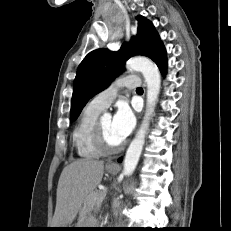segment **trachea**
Returning <instances> with one entry per match:
<instances>
[{
    "label": "trachea",
    "instance_id": "trachea-1",
    "mask_svg": "<svg viewBox=\"0 0 231 231\" xmlns=\"http://www.w3.org/2000/svg\"><path fill=\"white\" fill-rule=\"evenodd\" d=\"M136 91H143L141 87L137 88Z\"/></svg>",
    "mask_w": 231,
    "mask_h": 231
}]
</instances>
